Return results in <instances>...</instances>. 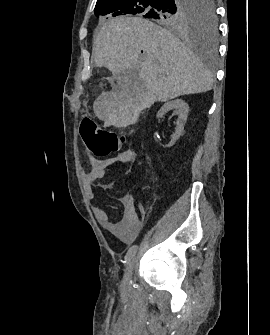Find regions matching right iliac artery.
Segmentation results:
<instances>
[{
    "mask_svg": "<svg viewBox=\"0 0 270 335\" xmlns=\"http://www.w3.org/2000/svg\"><path fill=\"white\" fill-rule=\"evenodd\" d=\"M137 249H138L137 245H133L129 248V250H128L126 256H125V264L128 263L130 261V259L134 256Z\"/></svg>",
    "mask_w": 270,
    "mask_h": 335,
    "instance_id": "obj_1",
    "label": "right iliac artery"
}]
</instances>
